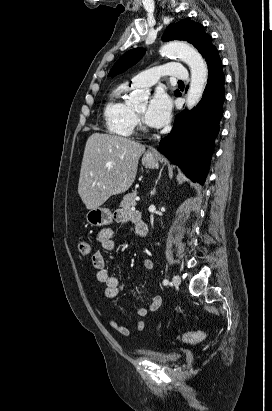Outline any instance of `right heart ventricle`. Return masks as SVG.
<instances>
[{"label": "right heart ventricle", "mask_w": 272, "mask_h": 411, "mask_svg": "<svg viewBox=\"0 0 272 411\" xmlns=\"http://www.w3.org/2000/svg\"><path fill=\"white\" fill-rule=\"evenodd\" d=\"M129 85L123 83L112 91L105 104L104 117L108 130L118 136L128 137L133 133L135 119L132 107L125 101L124 95Z\"/></svg>", "instance_id": "right-heart-ventricle-1"}]
</instances>
